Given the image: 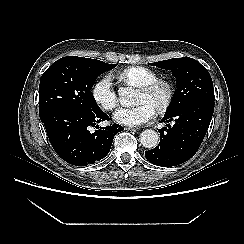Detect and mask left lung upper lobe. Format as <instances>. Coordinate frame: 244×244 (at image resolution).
Segmentation results:
<instances>
[{
	"mask_svg": "<svg viewBox=\"0 0 244 244\" xmlns=\"http://www.w3.org/2000/svg\"><path fill=\"white\" fill-rule=\"evenodd\" d=\"M150 65L172 71L177 80V89L167 113L174 112L193 101L208 100L214 102L211 76L207 69L195 59L190 57L173 58Z\"/></svg>",
	"mask_w": 244,
	"mask_h": 244,
	"instance_id": "5c2ea615",
	"label": "left lung upper lobe"
}]
</instances>
